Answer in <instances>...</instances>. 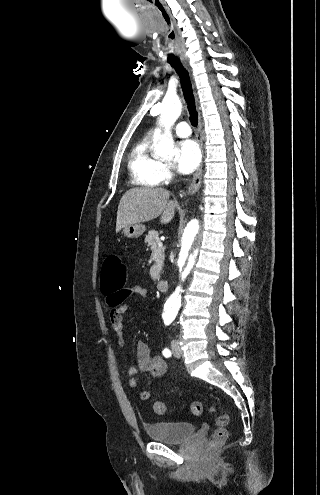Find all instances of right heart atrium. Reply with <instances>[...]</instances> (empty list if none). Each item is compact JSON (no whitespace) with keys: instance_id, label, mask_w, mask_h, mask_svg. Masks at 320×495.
I'll return each mask as SVG.
<instances>
[{"instance_id":"1","label":"right heart atrium","mask_w":320,"mask_h":495,"mask_svg":"<svg viewBox=\"0 0 320 495\" xmlns=\"http://www.w3.org/2000/svg\"><path fill=\"white\" fill-rule=\"evenodd\" d=\"M173 178V169L170 164H161L157 179L159 183L169 182Z\"/></svg>"}]
</instances>
